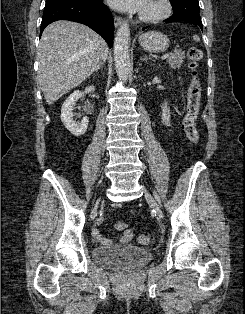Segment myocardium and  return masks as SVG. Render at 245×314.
I'll return each instance as SVG.
<instances>
[{
  "mask_svg": "<svg viewBox=\"0 0 245 314\" xmlns=\"http://www.w3.org/2000/svg\"><path fill=\"white\" fill-rule=\"evenodd\" d=\"M159 5V11L154 14H140V20L146 23H156L170 16L172 4L170 0H154Z\"/></svg>",
  "mask_w": 245,
  "mask_h": 314,
  "instance_id": "obj_1",
  "label": "myocardium"
}]
</instances>
